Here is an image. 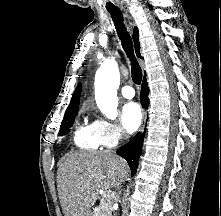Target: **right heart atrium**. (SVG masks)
<instances>
[{
	"instance_id": "right-heart-atrium-1",
	"label": "right heart atrium",
	"mask_w": 221,
	"mask_h": 216,
	"mask_svg": "<svg viewBox=\"0 0 221 216\" xmlns=\"http://www.w3.org/2000/svg\"><path fill=\"white\" fill-rule=\"evenodd\" d=\"M95 134L104 147H113L123 138L121 127L110 120L99 118L93 122Z\"/></svg>"
}]
</instances>
